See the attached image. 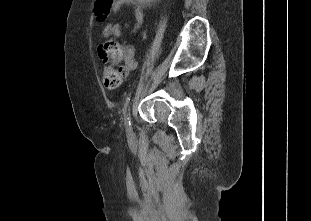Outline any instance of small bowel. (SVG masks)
<instances>
[{"label": "small bowel", "instance_id": "1", "mask_svg": "<svg viewBox=\"0 0 311 221\" xmlns=\"http://www.w3.org/2000/svg\"><path fill=\"white\" fill-rule=\"evenodd\" d=\"M141 2L142 0H114V4H113V10L116 12L119 10L120 7L122 6H130L133 9L134 12V16L136 19V24L133 26L132 30L133 31H137L140 29V27L142 26L143 20H144V12L143 9L141 7ZM128 24L125 23H112L110 24V26L108 27V29H106L103 32V37L105 39L109 38L111 35L115 36V37H121L122 36V30L124 28H128ZM98 50H101V48L99 47ZM123 57H124V67H125V71L126 74L135 69L137 66L136 60H135V50L134 47L131 45H126L123 48ZM101 60L104 64H106L108 62V58L107 57H101Z\"/></svg>", "mask_w": 311, "mask_h": 221}]
</instances>
